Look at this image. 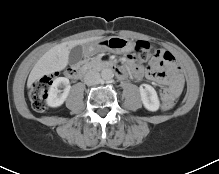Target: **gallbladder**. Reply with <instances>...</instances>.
<instances>
[{
    "label": "gallbladder",
    "mask_w": 219,
    "mask_h": 174,
    "mask_svg": "<svg viewBox=\"0 0 219 174\" xmlns=\"http://www.w3.org/2000/svg\"><path fill=\"white\" fill-rule=\"evenodd\" d=\"M83 53H84V49L82 46L77 45L73 47L69 53V60H68L69 64L70 65L78 64V62H80L83 58Z\"/></svg>",
    "instance_id": "gallbladder-1"
}]
</instances>
